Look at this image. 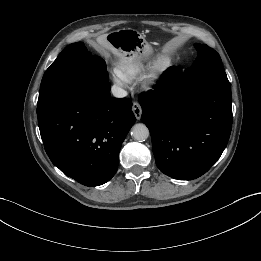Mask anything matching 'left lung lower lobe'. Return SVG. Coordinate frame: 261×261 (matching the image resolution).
I'll use <instances>...</instances> for the list:
<instances>
[{"label": "left lung lower lobe", "instance_id": "1", "mask_svg": "<svg viewBox=\"0 0 261 261\" xmlns=\"http://www.w3.org/2000/svg\"><path fill=\"white\" fill-rule=\"evenodd\" d=\"M170 68L155 92L139 97L157 167L167 176L192 180L224 151L232 127L231 88L225 71L204 69L188 79Z\"/></svg>", "mask_w": 261, "mask_h": 261}]
</instances>
